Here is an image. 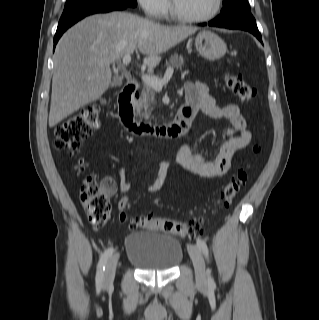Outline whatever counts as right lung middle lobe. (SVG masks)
I'll use <instances>...</instances> for the list:
<instances>
[{"instance_id":"dd1d6c3e","label":"right lung middle lobe","mask_w":319,"mask_h":320,"mask_svg":"<svg viewBox=\"0 0 319 320\" xmlns=\"http://www.w3.org/2000/svg\"><path fill=\"white\" fill-rule=\"evenodd\" d=\"M109 4H125L135 7L137 2L136 0H66L65 8L59 22H63L90 8Z\"/></svg>"}]
</instances>
